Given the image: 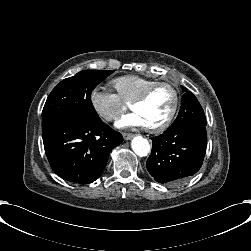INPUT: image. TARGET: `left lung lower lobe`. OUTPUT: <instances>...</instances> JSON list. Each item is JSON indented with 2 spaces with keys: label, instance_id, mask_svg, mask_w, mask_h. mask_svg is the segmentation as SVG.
Listing matches in <instances>:
<instances>
[{
  "label": "left lung lower lobe",
  "instance_id": "obj_1",
  "mask_svg": "<svg viewBox=\"0 0 251 251\" xmlns=\"http://www.w3.org/2000/svg\"><path fill=\"white\" fill-rule=\"evenodd\" d=\"M147 170L155 181L177 184L202 166L207 147L206 125L186 124L153 137Z\"/></svg>",
  "mask_w": 251,
  "mask_h": 251
}]
</instances>
